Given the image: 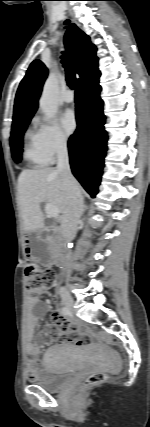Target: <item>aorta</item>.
<instances>
[{"instance_id":"aorta-1","label":"aorta","mask_w":150,"mask_h":427,"mask_svg":"<svg viewBox=\"0 0 150 427\" xmlns=\"http://www.w3.org/2000/svg\"><path fill=\"white\" fill-rule=\"evenodd\" d=\"M39 106L44 113L45 120L52 119L58 110V82L56 76L51 73L45 81Z\"/></svg>"}]
</instances>
